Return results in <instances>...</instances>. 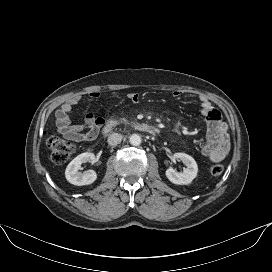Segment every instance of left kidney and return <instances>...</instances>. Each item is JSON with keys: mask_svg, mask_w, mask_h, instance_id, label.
<instances>
[{"mask_svg": "<svg viewBox=\"0 0 272 272\" xmlns=\"http://www.w3.org/2000/svg\"><path fill=\"white\" fill-rule=\"evenodd\" d=\"M174 160H181L186 168L183 172H177L172 167L168 168L165 172L166 177L170 182L177 185H187L190 184L193 179L197 176L198 166L194 158L185 153H175L173 155Z\"/></svg>", "mask_w": 272, "mask_h": 272, "instance_id": "1", "label": "left kidney"}]
</instances>
